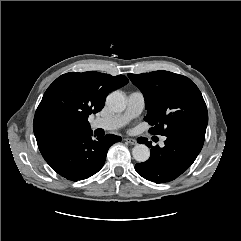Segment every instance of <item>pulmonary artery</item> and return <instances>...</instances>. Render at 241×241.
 Returning <instances> with one entry per match:
<instances>
[{
    "label": "pulmonary artery",
    "instance_id": "e3ab8cb5",
    "mask_svg": "<svg viewBox=\"0 0 241 241\" xmlns=\"http://www.w3.org/2000/svg\"><path fill=\"white\" fill-rule=\"evenodd\" d=\"M145 100L141 92L135 91L129 94L126 110L106 118H97L91 122L92 129L116 130L123 127L130 120L140 115L144 108ZM164 141V138H162Z\"/></svg>",
    "mask_w": 241,
    "mask_h": 241
}]
</instances>
